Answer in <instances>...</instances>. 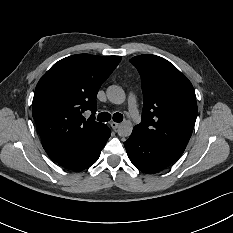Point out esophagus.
Segmentation results:
<instances>
[{"mask_svg": "<svg viewBox=\"0 0 233 233\" xmlns=\"http://www.w3.org/2000/svg\"><path fill=\"white\" fill-rule=\"evenodd\" d=\"M110 125L114 130H116L119 127V123L117 122H111Z\"/></svg>", "mask_w": 233, "mask_h": 233, "instance_id": "esophagus-1", "label": "esophagus"}]
</instances>
